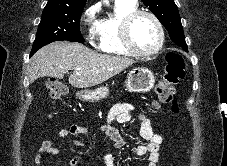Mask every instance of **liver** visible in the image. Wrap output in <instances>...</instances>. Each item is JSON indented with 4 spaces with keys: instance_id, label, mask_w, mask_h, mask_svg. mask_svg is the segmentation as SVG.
Segmentation results:
<instances>
[{
    "instance_id": "liver-1",
    "label": "liver",
    "mask_w": 227,
    "mask_h": 166,
    "mask_svg": "<svg viewBox=\"0 0 227 166\" xmlns=\"http://www.w3.org/2000/svg\"><path fill=\"white\" fill-rule=\"evenodd\" d=\"M134 60L95 52L80 43L57 41L39 49L32 58L30 82L40 77L62 79L70 70L69 83L75 88L99 85L117 75Z\"/></svg>"
}]
</instances>
